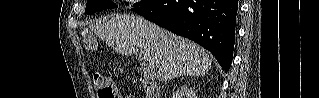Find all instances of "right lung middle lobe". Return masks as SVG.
I'll return each instance as SVG.
<instances>
[{"label":"right lung middle lobe","instance_id":"obj_1","mask_svg":"<svg viewBox=\"0 0 319 98\" xmlns=\"http://www.w3.org/2000/svg\"><path fill=\"white\" fill-rule=\"evenodd\" d=\"M151 0H141L139 3L134 4L135 8L147 5ZM117 5L111 0H87L86 14H92L102 11L104 9L116 8Z\"/></svg>","mask_w":319,"mask_h":98}]
</instances>
